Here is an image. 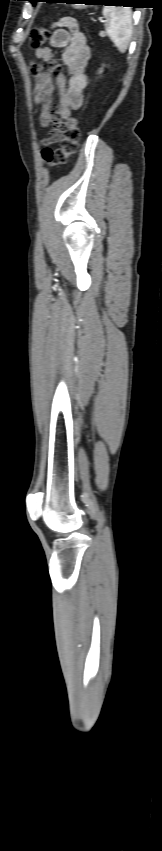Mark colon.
I'll list each match as a JSON object with an SVG mask.
<instances>
[{"label":"colon","mask_w":162,"mask_h":851,"mask_svg":"<svg viewBox=\"0 0 162 851\" xmlns=\"http://www.w3.org/2000/svg\"><path fill=\"white\" fill-rule=\"evenodd\" d=\"M48 37L49 31L47 29L42 27L35 28L30 33L29 46L31 48H40L47 41ZM53 134L58 136L59 146L57 148H43L41 156L49 166L62 165L77 150L80 138L78 119L69 118L67 121L58 123L53 130Z\"/></svg>","instance_id":"colon-1"}]
</instances>
